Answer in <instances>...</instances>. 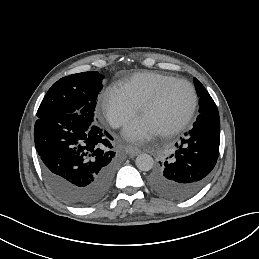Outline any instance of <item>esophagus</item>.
<instances>
[{"label":"esophagus","mask_w":259,"mask_h":259,"mask_svg":"<svg viewBox=\"0 0 259 259\" xmlns=\"http://www.w3.org/2000/svg\"><path fill=\"white\" fill-rule=\"evenodd\" d=\"M126 152L130 155H137L141 152L139 148L133 147V146H126Z\"/></svg>","instance_id":"esophagus-1"}]
</instances>
